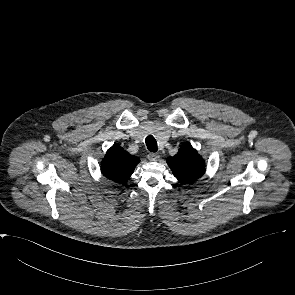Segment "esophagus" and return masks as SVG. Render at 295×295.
I'll return each mask as SVG.
<instances>
[{
	"mask_svg": "<svg viewBox=\"0 0 295 295\" xmlns=\"http://www.w3.org/2000/svg\"><path fill=\"white\" fill-rule=\"evenodd\" d=\"M147 158L150 160V161H157L159 158H160V155L158 153H149L147 155Z\"/></svg>",
	"mask_w": 295,
	"mask_h": 295,
	"instance_id": "esophagus-1",
	"label": "esophagus"
}]
</instances>
